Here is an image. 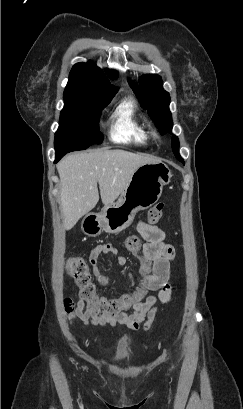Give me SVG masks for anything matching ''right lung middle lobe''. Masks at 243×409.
I'll list each match as a JSON object with an SVG mask.
<instances>
[{
  "label": "right lung middle lobe",
  "instance_id": "obj_1",
  "mask_svg": "<svg viewBox=\"0 0 243 409\" xmlns=\"http://www.w3.org/2000/svg\"><path fill=\"white\" fill-rule=\"evenodd\" d=\"M113 97L101 100L64 99L59 128L55 133L56 154L84 150L100 144L103 135L99 131V119Z\"/></svg>",
  "mask_w": 243,
  "mask_h": 409
}]
</instances>
